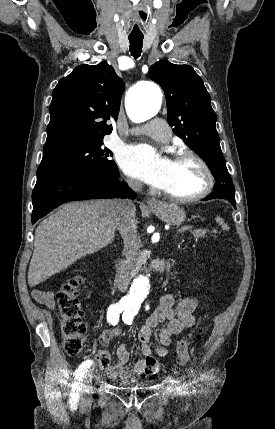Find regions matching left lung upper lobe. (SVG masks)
I'll return each mask as SVG.
<instances>
[{
  "mask_svg": "<svg viewBox=\"0 0 275 429\" xmlns=\"http://www.w3.org/2000/svg\"><path fill=\"white\" fill-rule=\"evenodd\" d=\"M150 78L164 90L167 118L174 133L207 163L216 183L214 190L235 194L223 157L213 111L203 80L189 65L160 60L151 66Z\"/></svg>",
  "mask_w": 275,
  "mask_h": 429,
  "instance_id": "5c2ea615",
  "label": "left lung upper lobe"
}]
</instances>
